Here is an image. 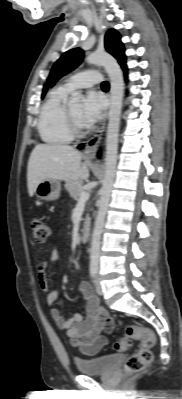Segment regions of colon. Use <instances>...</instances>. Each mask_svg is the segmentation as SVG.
<instances>
[{
  "mask_svg": "<svg viewBox=\"0 0 182 399\" xmlns=\"http://www.w3.org/2000/svg\"><path fill=\"white\" fill-rule=\"evenodd\" d=\"M30 230L32 239L38 243L45 242L50 234L49 224L42 217L36 215L30 218ZM132 340H138L140 347L125 362L124 370L128 374L142 371L152 361L151 349L156 342L155 334L151 329L129 325L126 328L125 336L115 342L114 350L126 351L131 346Z\"/></svg>",
  "mask_w": 182,
  "mask_h": 399,
  "instance_id": "1",
  "label": "colon"
}]
</instances>
